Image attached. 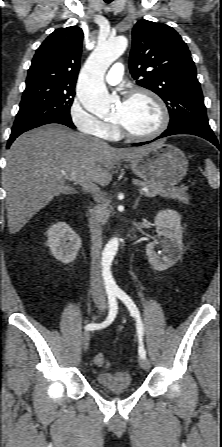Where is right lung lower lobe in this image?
Returning <instances> with one entry per match:
<instances>
[{
  "mask_svg": "<svg viewBox=\"0 0 222 447\" xmlns=\"http://www.w3.org/2000/svg\"><path fill=\"white\" fill-rule=\"evenodd\" d=\"M50 123H59V124L66 125V126H68V127H70V128H75V126H74V124L72 123V121H71V120H66V119H54V120H51V121L42 123V124H40V125H38V126L45 125V124H50ZM38 126H36V127H38ZM33 128H35V127H33ZM30 129H32V128H30ZM30 129H26V130H23V131H19V132H14V133H12V134L10 135L9 140H8L7 148L10 147L11 143H12V142H13V141H14L20 134H22L23 132L28 131V130H30Z\"/></svg>",
  "mask_w": 222,
  "mask_h": 447,
  "instance_id": "right-lung-lower-lobe-1",
  "label": "right lung lower lobe"
}]
</instances>
